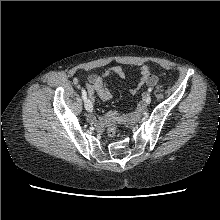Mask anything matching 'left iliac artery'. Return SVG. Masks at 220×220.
Masks as SVG:
<instances>
[{"instance_id": "obj_1", "label": "left iliac artery", "mask_w": 220, "mask_h": 220, "mask_svg": "<svg viewBox=\"0 0 220 220\" xmlns=\"http://www.w3.org/2000/svg\"><path fill=\"white\" fill-rule=\"evenodd\" d=\"M152 91V88L150 87V88H148V92H151ZM146 101L147 102H151V100L150 99H146Z\"/></svg>"}]
</instances>
